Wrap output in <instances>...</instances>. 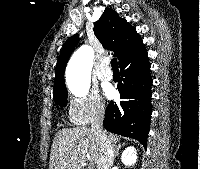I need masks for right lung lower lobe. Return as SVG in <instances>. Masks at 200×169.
I'll use <instances>...</instances> for the list:
<instances>
[{"label": "right lung lower lobe", "instance_id": "1", "mask_svg": "<svg viewBox=\"0 0 200 169\" xmlns=\"http://www.w3.org/2000/svg\"><path fill=\"white\" fill-rule=\"evenodd\" d=\"M119 102H110L103 126L116 134L134 138L144 147L147 143L152 113V77L147 51L120 65Z\"/></svg>", "mask_w": 200, "mask_h": 169}]
</instances>
